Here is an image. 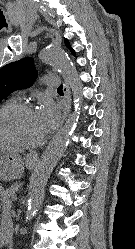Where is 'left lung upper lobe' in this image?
Segmentation results:
<instances>
[{
  "label": "left lung upper lobe",
  "mask_w": 135,
  "mask_h": 249,
  "mask_svg": "<svg viewBox=\"0 0 135 249\" xmlns=\"http://www.w3.org/2000/svg\"><path fill=\"white\" fill-rule=\"evenodd\" d=\"M65 45L75 56L69 41L64 38ZM37 77L34 60L31 57L23 58L5 65L0 69V101L15 90L30 87Z\"/></svg>",
  "instance_id": "5c2ea615"
}]
</instances>
